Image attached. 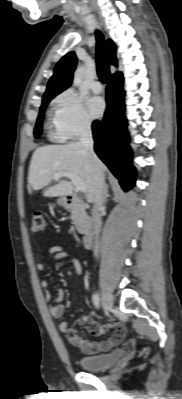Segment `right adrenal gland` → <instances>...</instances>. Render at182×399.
I'll list each match as a JSON object with an SVG mask.
<instances>
[{
  "mask_svg": "<svg viewBox=\"0 0 182 399\" xmlns=\"http://www.w3.org/2000/svg\"><path fill=\"white\" fill-rule=\"evenodd\" d=\"M110 197V194L108 193V185H105V193H104V201L107 200V198Z\"/></svg>",
  "mask_w": 182,
  "mask_h": 399,
  "instance_id": "2a0ac1e0",
  "label": "right adrenal gland"
}]
</instances>
